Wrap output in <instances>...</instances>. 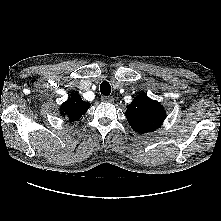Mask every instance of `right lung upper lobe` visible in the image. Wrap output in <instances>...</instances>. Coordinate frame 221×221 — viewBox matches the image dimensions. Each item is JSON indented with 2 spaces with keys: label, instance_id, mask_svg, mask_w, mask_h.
Returning a JSON list of instances; mask_svg holds the SVG:
<instances>
[{
  "label": "right lung upper lobe",
  "instance_id": "cb5924a9",
  "mask_svg": "<svg viewBox=\"0 0 221 221\" xmlns=\"http://www.w3.org/2000/svg\"><path fill=\"white\" fill-rule=\"evenodd\" d=\"M90 104L81 99L77 93H72L66 102L60 108L61 115L67 117L69 121H76L87 112Z\"/></svg>",
  "mask_w": 221,
  "mask_h": 221
}]
</instances>
